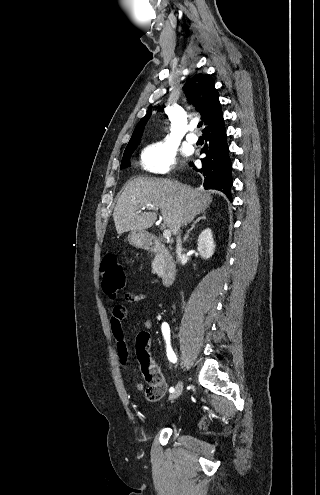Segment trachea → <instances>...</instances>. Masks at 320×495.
<instances>
[{
  "mask_svg": "<svg viewBox=\"0 0 320 495\" xmlns=\"http://www.w3.org/2000/svg\"><path fill=\"white\" fill-rule=\"evenodd\" d=\"M201 126H202V123H199V124H198V127H201Z\"/></svg>",
  "mask_w": 320,
  "mask_h": 495,
  "instance_id": "obj_1",
  "label": "trachea"
}]
</instances>
